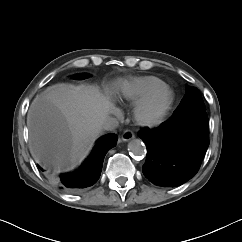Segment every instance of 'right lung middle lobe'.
<instances>
[{
    "label": "right lung middle lobe",
    "instance_id": "1",
    "mask_svg": "<svg viewBox=\"0 0 242 242\" xmlns=\"http://www.w3.org/2000/svg\"><path fill=\"white\" fill-rule=\"evenodd\" d=\"M87 77H88V75H86V74H80V75L73 76V78L76 79V80H82V79H85Z\"/></svg>",
    "mask_w": 242,
    "mask_h": 242
}]
</instances>
